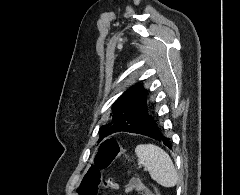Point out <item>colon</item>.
Instances as JSON below:
<instances>
[{"label":"colon","instance_id":"1","mask_svg":"<svg viewBox=\"0 0 240 195\" xmlns=\"http://www.w3.org/2000/svg\"><path fill=\"white\" fill-rule=\"evenodd\" d=\"M121 147L114 138H107L100 144L96 152L95 167L89 168L83 181V186H78L76 195H98L103 182L101 169L108 168L120 155Z\"/></svg>","mask_w":240,"mask_h":195}]
</instances>
